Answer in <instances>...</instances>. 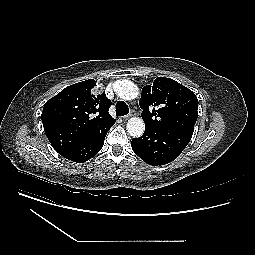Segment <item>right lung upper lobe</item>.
Masks as SVG:
<instances>
[{
	"instance_id": "obj_1",
	"label": "right lung upper lobe",
	"mask_w": 255,
	"mask_h": 255,
	"mask_svg": "<svg viewBox=\"0 0 255 255\" xmlns=\"http://www.w3.org/2000/svg\"><path fill=\"white\" fill-rule=\"evenodd\" d=\"M96 81L89 79L66 87L48 100L41 120L53 148L62 156L96 131L110 129L115 119L109 114L111 101L105 92L93 93Z\"/></svg>"
}]
</instances>
